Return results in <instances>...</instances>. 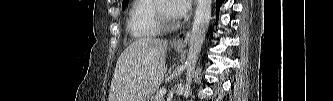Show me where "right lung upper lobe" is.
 <instances>
[{"label":"right lung upper lobe","mask_w":333,"mask_h":101,"mask_svg":"<svg viewBox=\"0 0 333 101\" xmlns=\"http://www.w3.org/2000/svg\"><path fill=\"white\" fill-rule=\"evenodd\" d=\"M125 2H127V0H123V4H124Z\"/></svg>","instance_id":"right-lung-upper-lobe-1"}]
</instances>
